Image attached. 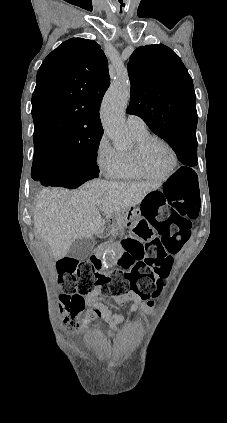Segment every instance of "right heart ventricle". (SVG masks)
<instances>
[{
	"mask_svg": "<svg viewBox=\"0 0 227 423\" xmlns=\"http://www.w3.org/2000/svg\"><path fill=\"white\" fill-rule=\"evenodd\" d=\"M132 144L135 146L136 143L149 136L147 130L145 131H129ZM133 147L127 150H118V157L120 160V171L117 178L121 179H138L140 176L135 171L132 159Z\"/></svg>",
	"mask_w": 227,
	"mask_h": 423,
	"instance_id": "obj_1",
	"label": "right heart ventricle"
}]
</instances>
